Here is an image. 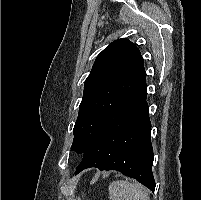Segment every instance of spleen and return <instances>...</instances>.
I'll return each instance as SVG.
<instances>
[{"mask_svg": "<svg viewBox=\"0 0 201 200\" xmlns=\"http://www.w3.org/2000/svg\"><path fill=\"white\" fill-rule=\"evenodd\" d=\"M109 196L110 200H150L143 186L124 180L110 183Z\"/></svg>", "mask_w": 201, "mask_h": 200, "instance_id": "1", "label": "spleen"}]
</instances>
